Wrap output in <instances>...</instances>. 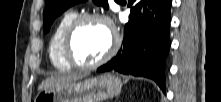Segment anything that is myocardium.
I'll return each instance as SVG.
<instances>
[{"label":"myocardium","mask_w":221,"mask_h":102,"mask_svg":"<svg viewBox=\"0 0 221 102\" xmlns=\"http://www.w3.org/2000/svg\"><path fill=\"white\" fill-rule=\"evenodd\" d=\"M90 20L100 21L108 27L111 33V44L108 50L106 51V53L98 60L92 63H80L77 60H75V58L72 55L71 52L72 39L77 28L85 21H90ZM119 43H120L119 34L116 28L114 27L112 21L106 15L98 12H86L77 15L68 25L62 41V55L65 61L73 68L82 69V70L94 69L106 63L115 54V52L119 47Z\"/></svg>","instance_id":"myocardium-1"}]
</instances>
